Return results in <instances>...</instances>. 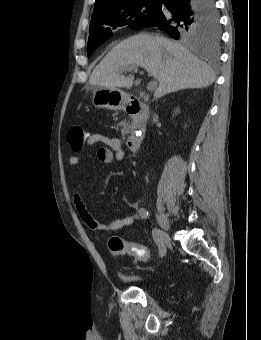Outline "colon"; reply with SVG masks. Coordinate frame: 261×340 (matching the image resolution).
Instances as JSON below:
<instances>
[{
    "mask_svg": "<svg viewBox=\"0 0 261 340\" xmlns=\"http://www.w3.org/2000/svg\"><path fill=\"white\" fill-rule=\"evenodd\" d=\"M86 132L83 127L75 125L70 128L67 140L74 151H79L85 143ZM109 250L113 255H128L141 262H148L151 259L150 251L147 247L123 240L118 236H113L108 243Z\"/></svg>",
    "mask_w": 261,
    "mask_h": 340,
    "instance_id": "obj_1",
    "label": "colon"
}]
</instances>
